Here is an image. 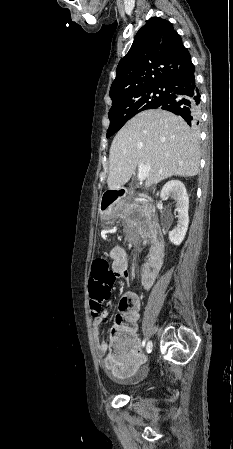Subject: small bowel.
Here are the masks:
<instances>
[{"mask_svg":"<svg viewBox=\"0 0 233 449\" xmlns=\"http://www.w3.org/2000/svg\"><path fill=\"white\" fill-rule=\"evenodd\" d=\"M109 259L111 260V279L112 283L117 278H124L127 283L131 281V273L129 271L128 259L124 248L121 246H114L109 252ZM142 286L149 288L156 279L155 272H142L139 275ZM104 308L100 314L95 315L92 322V335L95 346V351L98 358L101 360L102 366H109L112 373L121 379H129L135 373L143 361V355L140 348V341L133 334L132 343L128 349L123 351H114L108 354L109 345L99 338L100 326L109 317L111 307L109 304Z\"/></svg>","mask_w":233,"mask_h":449,"instance_id":"small-bowel-1","label":"small bowel"}]
</instances>
